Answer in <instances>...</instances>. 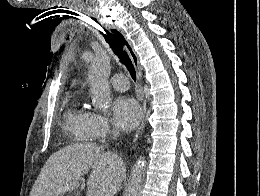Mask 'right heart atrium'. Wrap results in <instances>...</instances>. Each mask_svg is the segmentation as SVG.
<instances>
[{"mask_svg": "<svg viewBox=\"0 0 260 196\" xmlns=\"http://www.w3.org/2000/svg\"><path fill=\"white\" fill-rule=\"evenodd\" d=\"M87 126L90 129H94V130L110 129L108 119L104 115L96 113V112H89Z\"/></svg>", "mask_w": 260, "mask_h": 196, "instance_id": "right-heart-atrium-1", "label": "right heart atrium"}]
</instances>
